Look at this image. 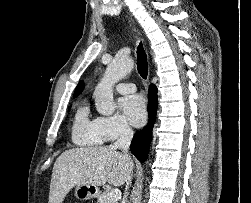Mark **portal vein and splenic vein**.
Instances as JSON below:
<instances>
[{"label":"portal vein and splenic vein","instance_id":"portal-vein-and-splenic-vein-1","mask_svg":"<svg viewBox=\"0 0 251 203\" xmlns=\"http://www.w3.org/2000/svg\"><path fill=\"white\" fill-rule=\"evenodd\" d=\"M108 196L117 203V201L121 198V192L119 189H114L108 193Z\"/></svg>","mask_w":251,"mask_h":203}]
</instances>
